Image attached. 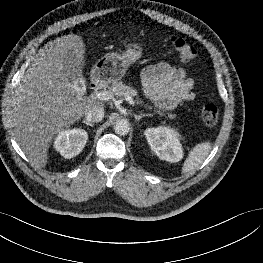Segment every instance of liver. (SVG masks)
Segmentation results:
<instances>
[{"mask_svg":"<svg viewBox=\"0 0 263 263\" xmlns=\"http://www.w3.org/2000/svg\"><path fill=\"white\" fill-rule=\"evenodd\" d=\"M75 56V68L82 78L85 44L75 34L48 42L39 50L11 99L9 119L14 137L27 158L38 167L48 163V150L56 135L78 121L96 100L75 97L68 75L74 68L65 60Z\"/></svg>","mask_w":263,"mask_h":263,"instance_id":"6515ba94","label":"liver"}]
</instances>
